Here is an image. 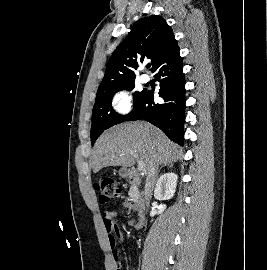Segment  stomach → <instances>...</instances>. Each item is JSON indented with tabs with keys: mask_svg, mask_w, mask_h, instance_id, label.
Instances as JSON below:
<instances>
[{
	"mask_svg": "<svg viewBox=\"0 0 267 270\" xmlns=\"http://www.w3.org/2000/svg\"><path fill=\"white\" fill-rule=\"evenodd\" d=\"M129 171L126 168H122L119 170V175L121 177H126L128 175Z\"/></svg>",
	"mask_w": 267,
	"mask_h": 270,
	"instance_id": "obj_1",
	"label": "stomach"
}]
</instances>
